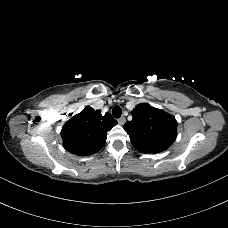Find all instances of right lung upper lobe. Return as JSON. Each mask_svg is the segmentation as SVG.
Listing matches in <instances>:
<instances>
[{"label":"right lung upper lobe","instance_id":"1","mask_svg":"<svg viewBox=\"0 0 228 228\" xmlns=\"http://www.w3.org/2000/svg\"><path fill=\"white\" fill-rule=\"evenodd\" d=\"M116 124L111 114L102 115L87 106L64 124L61 130L63 146L78 156L94 154L104 146L107 131Z\"/></svg>","mask_w":228,"mask_h":228}]
</instances>
